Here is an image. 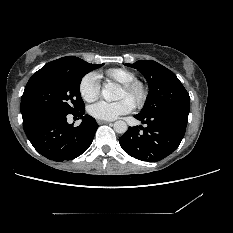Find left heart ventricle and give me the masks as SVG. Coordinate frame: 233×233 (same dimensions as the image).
I'll use <instances>...</instances> for the list:
<instances>
[{
	"label": "left heart ventricle",
	"instance_id": "left-heart-ventricle-1",
	"mask_svg": "<svg viewBox=\"0 0 233 233\" xmlns=\"http://www.w3.org/2000/svg\"><path fill=\"white\" fill-rule=\"evenodd\" d=\"M118 99H123V98H129L131 100V98L128 96V94L126 93V91L121 88L118 94ZM132 101V100H131Z\"/></svg>",
	"mask_w": 233,
	"mask_h": 233
}]
</instances>
